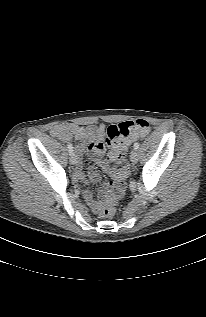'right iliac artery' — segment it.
Listing matches in <instances>:
<instances>
[{
	"label": "right iliac artery",
	"mask_w": 206,
	"mask_h": 317,
	"mask_svg": "<svg viewBox=\"0 0 206 317\" xmlns=\"http://www.w3.org/2000/svg\"><path fill=\"white\" fill-rule=\"evenodd\" d=\"M67 148H68L69 153L72 154V152H73V146H72L71 143H68Z\"/></svg>",
	"instance_id": "obj_1"
}]
</instances>
